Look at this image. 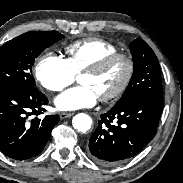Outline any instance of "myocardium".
Segmentation results:
<instances>
[{
	"label": "myocardium",
	"mask_w": 183,
	"mask_h": 183,
	"mask_svg": "<svg viewBox=\"0 0 183 183\" xmlns=\"http://www.w3.org/2000/svg\"><path fill=\"white\" fill-rule=\"evenodd\" d=\"M119 60L124 61L126 64L125 76L117 88H115L112 92L99 97L100 101L102 102H110L116 100L127 90L135 71V63L133 58L126 53L116 52L99 60L98 62L82 71V74L96 75L105 71Z\"/></svg>",
	"instance_id": "myocardium-1"
}]
</instances>
